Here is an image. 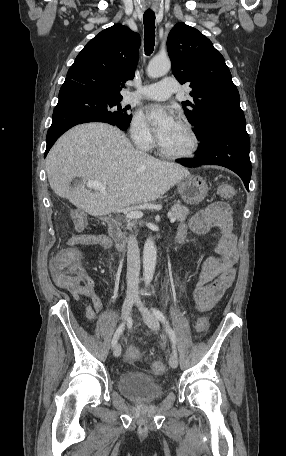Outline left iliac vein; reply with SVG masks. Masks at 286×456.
Returning a JSON list of instances; mask_svg holds the SVG:
<instances>
[{
  "mask_svg": "<svg viewBox=\"0 0 286 456\" xmlns=\"http://www.w3.org/2000/svg\"><path fill=\"white\" fill-rule=\"evenodd\" d=\"M137 306L139 307L142 315H143V318H144V321L145 323L147 324V326L154 330V331H157L159 329V321L158 319L156 318V316H154L145 306L144 304L142 303V301L140 299L137 300ZM169 364L172 368H177L178 367V358L176 355H172L169 359Z\"/></svg>",
  "mask_w": 286,
  "mask_h": 456,
  "instance_id": "1",
  "label": "left iliac vein"
}]
</instances>
